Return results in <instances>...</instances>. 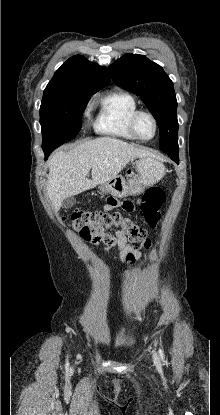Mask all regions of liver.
Returning <instances> with one entry per match:
<instances>
[{"mask_svg": "<svg viewBox=\"0 0 220 415\" xmlns=\"http://www.w3.org/2000/svg\"><path fill=\"white\" fill-rule=\"evenodd\" d=\"M153 157L137 148L111 137L86 141L64 152L57 151L50 159L47 194L57 211L62 202L115 178L135 158ZM91 170L92 179L88 178Z\"/></svg>", "mask_w": 220, "mask_h": 415, "instance_id": "6515ba94", "label": "liver"}]
</instances>
